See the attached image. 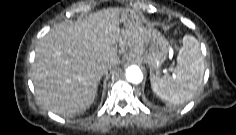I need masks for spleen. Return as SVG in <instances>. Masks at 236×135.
Segmentation results:
<instances>
[{
  "mask_svg": "<svg viewBox=\"0 0 236 135\" xmlns=\"http://www.w3.org/2000/svg\"><path fill=\"white\" fill-rule=\"evenodd\" d=\"M203 75L204 58L199 42L195 37L185 35L172 75L159 73L150 77V80L153 91L162 100L181 104L191 100L196 94Z\"/></svg>",
  "mask_w": 236,
  "mask_h": 135,
  "instance_id": "spleen-1",
  "label": "spleen"
}]
</instances>
